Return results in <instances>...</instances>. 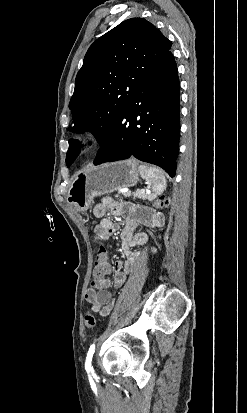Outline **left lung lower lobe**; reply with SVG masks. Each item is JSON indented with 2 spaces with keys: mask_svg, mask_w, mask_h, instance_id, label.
Wrapping results in <instances>:
<instances>
[{
  "mask_svg": "<svg viewBox=\"0 0 247 413\" xmlns=\"http://www.w3.org/2000/svg\"><path fill=\"white\" fill-rule=\"evenodd\" d=\"M180 84L169 50L140 84L101 144L95 165L135 157L175 176L180 138Z\"/></svg>",
  "mask_w": 247,
  "mask_h": 413,
  "instance_id": "0a47b994",
  "label": "left lung lower lobe"
}]
</instances>
